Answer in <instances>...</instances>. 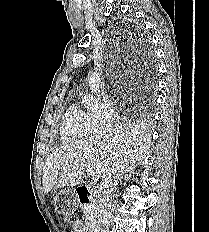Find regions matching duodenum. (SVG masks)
I'll return each mask as SVG.
<instances>
[{"mask_svg":"<svg viewBox=\"0 0 209 232\" xmlns=\"http://www.w3.org/2000/svg\"><path fill=\"white\" fill-rule=\"evenodd\" d=\"M77 194H78V200L80 204L86 205L87 203L90 202L91 196H92V191L89 187L87 186H79L77 189ZM88 232H95V229L93 227L88 229Z\"/></svg>","mask_w":209,"mask_h":232,"instance_id":"obj_1","label":"duodenum"}]
</instances>
